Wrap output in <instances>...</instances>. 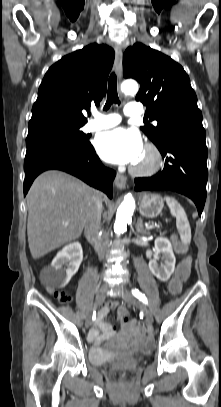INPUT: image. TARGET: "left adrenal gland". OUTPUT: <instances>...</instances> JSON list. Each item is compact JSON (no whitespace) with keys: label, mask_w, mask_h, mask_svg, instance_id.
I'll list each match as a JSON object with an SVG mask.
<instances>
[{"label":"left adrenal gland","mask_w":221,"mask_h":407,"mask_svg":"<svg viewBox=\"0 0 221 407\" xmlns=\"http://www.w3.org/2000/svg\"><path fill=\"white\" fill-rule=\"evenodd\" d=\"M136 231L140 234H145L146 232L143 229V222L141 218H138L137 224H136Z\"/></svg>","instance_id":"a2214340"}]
</instances>
